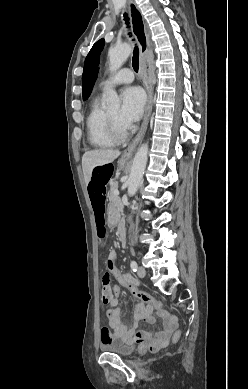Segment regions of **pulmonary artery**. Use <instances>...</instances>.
I'll list each match as a JSON object with an SVG mask.
<instances>
[{"label":"pulmonary artery","instance_id":"pulmonary-artery-1","mask_svg":"<svg viewBox=\"0 0 248 389\" xmlns=\"http://www.w3.org/2000/svg\"><path fill=\"white\" fill-rule=\"evenodd\" d=\"M133 79H134V74L132 70L128 68L121 69L116 74L110 76L109 78L105 79L101 83V90L105 91L111 87H114L122 83H130L133 81Z\"/></svg>","mask_w":248,"mask_h":389}]
</instances>
